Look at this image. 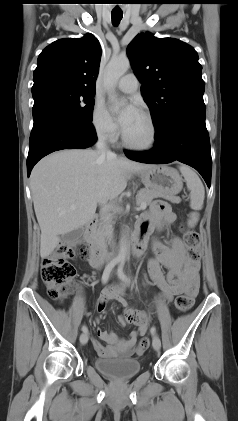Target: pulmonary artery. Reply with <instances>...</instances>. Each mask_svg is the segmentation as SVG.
Wrapping results in <instances>:
<instances>
[{"label":"pulmonary artery","mask_w":238,"mask_h":421,"mask_svg":"<svg viewBox=\"0 0 238 421\" xmlns=\"http://www.w3.org/2000/svg\"><path fill=\"white\" fill-rule=\"evenodd\" d=\"M138 86H139L138 79L132 73L124 75L117 82L118 89L121 90L122 92H125V93L135 92L137 90Z\"/></svg>","instance_id":"1"}]
</instances>
